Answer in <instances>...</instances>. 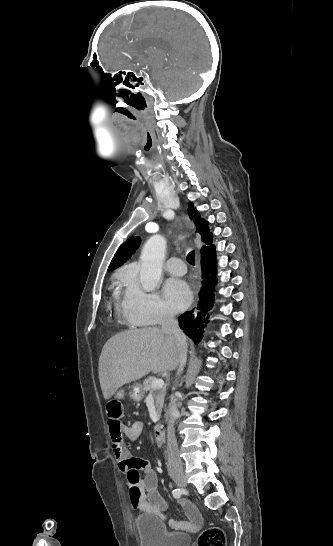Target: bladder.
Wrapping results in <instances>:
<instances>
[{
  "instance_id": "bladder-1",
  "label": "bladder",
  "mask_w": 333,
  "mask_h": 546,
  "mask_svg": "<svg viewBox=\"0 0 333 546\" xmlns=\"http://www.w3.org/2000/svg\"><path fill=\"white\" fill-rule=\"evenodd\" d=\"M135 530L140 546H190V535L167 531L163 522L152 515L138 517Z\"/></svg>"
}]
</instances>
